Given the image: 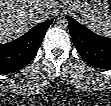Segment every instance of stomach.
<instances>
[{"label": "stomach", "mask_w": 111, "mask_h": 106, "mask_svg": "<svg viewBox=\"0 0 111 106\" xmlns=\"http://www.w3.org/2000/svg\"><path fill=\"white\" fill-rule=\"evenodd\" d=\"M69 7L80 13L86 23L95 17L104 18L107 15L109 3L106 0L70 1Z\"/></svg>", "instance_id": "1"}]
</instances>
